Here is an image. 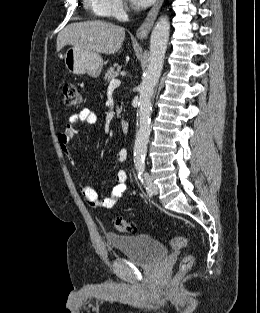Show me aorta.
Returning a JSON list of instances; mask_svg holds the SVG:
<instances>
[{
  "label": "aorta",
  "mask_w": 260,
  "mask_h": 313,
  "mask_svg": "<svg viewBox=\"0 0 260 313\" xmlns=\"http://www.w3.org/2000/svg\"><path fill=\"white\" fill-rule=\"evenodd\" d=\"M169 31V20L166 16H162L151 33L148 66L139 88L138 128L133 149L135 164H143L147 153L150 136L151 101L163 68Z\"/></svg>",
  "instance_id": "1"
}]
</instances>
